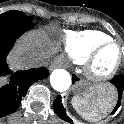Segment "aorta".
Segmentation results:
<instances>
[{"mask_svg":"<svg viewBox=\"0 0 124 124\" xmlns=\"http://www.w3.org/2000/svg\"><path fill=\"white\" fill-rule=\"evenodd\" d=\"M50 83L53 89L59 92L68 90L71 85V76L64 69H55L50 75Z\"/></svg>","mask_w":124,"mask_h":124,"instance_id":"obj_1","label":"aorta"}]
</instances>
